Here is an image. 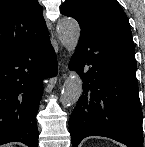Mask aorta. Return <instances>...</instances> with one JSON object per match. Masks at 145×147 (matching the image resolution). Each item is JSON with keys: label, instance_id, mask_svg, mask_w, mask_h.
I'll return each instance as SVG.
<instances>
[{"label": "aorta", "instance_id": "aorta-1", "mask_svg": "<svg viewBox=\"0 0 145 147\" xmlns=\"http://www.w3.org/2000/svg\"><path fill=\"white\" fill-rule=\"evenodd\" d=\"M57 31L62 45L70 55L75 52L79 38L80 26L73 18L64 17L58 21ZM83 92V85L80 76L76 71H70L64 82L60 96V102L64 107H69L78 101Z\"/></svg>", "mask_w": 145, "mask_h": 147}]
</instances>
